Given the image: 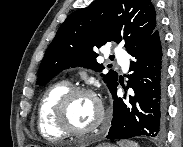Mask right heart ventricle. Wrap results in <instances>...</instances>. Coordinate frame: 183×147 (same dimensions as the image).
<instances>
[{
	"instance_id": "obj_1",
	"label": "right heart ventricle",
	"mask_w": 183,
	"mask_h": 147,
	"mask_svg": "<svg viewBox=\"0 0 183 147\" xmlns=\"http://www.w3.org/2000/svg\"><path fill=\"white\" fill-rule=\"evenodd\" d=\"M69 84L60 82L51 85L42 95L37 108V126L40 134L49 140L64 138L67 134L54 121V109L61 96L69 90Z\"/></svg>"
}]
</instances>
